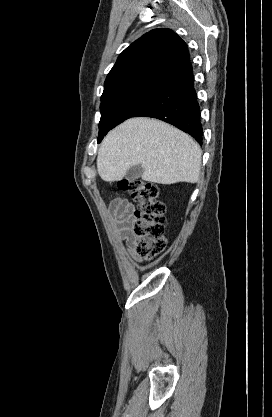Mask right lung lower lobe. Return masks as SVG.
<instances>
[{"instance_id": "right-lung-lower-lobe-1", "label": "right lung lower lobe", "mask_w": 272, "mask_h": 417, "mask_svg": "<svg viewBox=\"0 0 272 417\" xmlns=\"http://www.w3.org/2000/svg\"><path fill=\"white\" fill-rule=\"evenodd\" d=\"M139 116L153 117L170 123L202 144L200 109L191 65H187L167 80L134 117Z\"/></svg>"}]
</instances>
